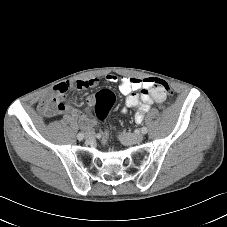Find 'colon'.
I'll return each mask as SVG.
<instances>
[{"mask_svg": "<svg viewBox=\"0 0 227 227\" xmlns=\"http://www.w3.org/2000/svg\"><path fill=\"white\" fill-rule=\"evenodd\" d=\"M150 84L152 86L159 85L166 93H171L169 85L157 77H152L150 79ZM115 102V95L111 90L103 89L99 91L96 96L92 106V113L101 120H104L110 109Z\"/></svg>", "mask_w": 227, "mask_h": 227, "instance_id": "1", "label": "colon"}]
</instances>
